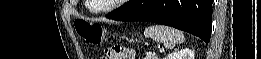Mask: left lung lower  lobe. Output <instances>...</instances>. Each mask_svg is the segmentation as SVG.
I'll return each mask as SVG.
<instances>
[{
	"label": "left lung lower lobe",
	"instance_id": "0a47b994",
	"mask_svg": "<svg viewBox=\"0 0 261 59\" xmlns=\"http://www.w3.org/2000/svg\"><path fill=\"white\" fill-rule=\"evenodd\" d=\"M212 0H130L109 13L119 21L155 22L189 32L208 44Z\"/></svg>",
	"mask_w": 261,
	"mask_h": 59
}]
</instances>
